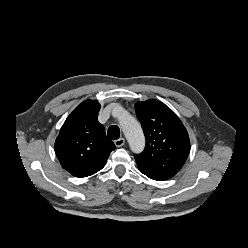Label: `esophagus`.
I'll return each instance as SVG.
<instances>
[{
    "mask_svg": "<svg viewBox=\"0 0 248 248\" xmlns=\"http://www.w3.org/2000/svg\"><path fill=\"white\" fill-rule=\"evenodd\" d=\"M114 144L116 145V147H121L125 144V139L124 138H119L117 140L114 141Z\"/></svg>",
    "mask_w": 248,
    "mask_h": 248,
    "instance_id": "1",
    "label": "esophagus"
}]
</instances>
